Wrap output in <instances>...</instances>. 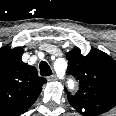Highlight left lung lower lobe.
I'll return each instance as SVG.
<instances>
[{
  "label": "left lung lower lobe",
  "instance_id": "1",
  "mask_svg": "<svg viewBox=\"0 0 116 116\" xmlns=\"http://www.w3.org/2000/svg\"><path fill=\"white\" fill-rule=\"evenodd\" d=\"M87 116H97V114H89V115H87Z\"/></svg>",
  "mask_w": 116,
  "mask_h": 116
}]
</instances>
